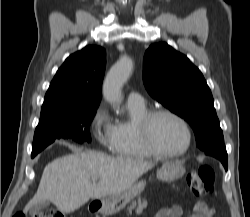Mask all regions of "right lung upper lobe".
<instances>
[{
  "mask_svg": "<svg viewBox=\"0 0 250 217\" xmlns=\"http://www.w3.org/2000/svg\"><path fill=\"white\" fill-rule=\"evenodd\" d=\"M105 65L106 51L99 46H87L70 55L50 83L41 116L98 107Z\"/></svg>",
  "mask_w": 250,
  "mask_h": 217,
  "instance_id": "cb5924a9",
  "label": "right lung upper lobe"
}]
</instances>
